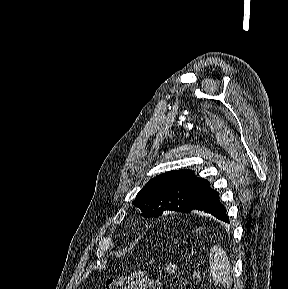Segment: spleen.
<instances>
[{
    "label": "spleen",
    "mask_w": 288,
    "mask_h": 289,
    "mask_svg": "<svg viewBox=\"0 0 288 289\" xmlns=\"http://www.w3.org/2000/svg\"><path fill=\"white\" fill-rule=\"evenodd\" d=\"M209 264L211 276L215 282L227 283L230 280V262L223 248L213 246L210 249Z\"/></svg>",
    "instance_id": "spleen-1"
}]
</instances>
